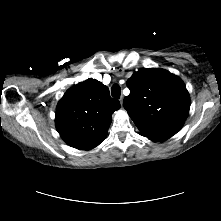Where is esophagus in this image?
Wrapping results in <instances>:
<instances>
[{
    "mask_svg": "<svg viewBox=\"0 0 221 221\" xmlns=\"http://www.w3.org/2000/svg\"><path fill=\"white\" fill-rule=\"evenodd\" d=\"M120 104H121V106L123 105V96L122 95L120 97Z\"/></svg>",
    "mask_w": 221,
    "mask_h": 221,
    "instance_id": "obj_1",
    "label": "esophagus"
}]
</instances>
